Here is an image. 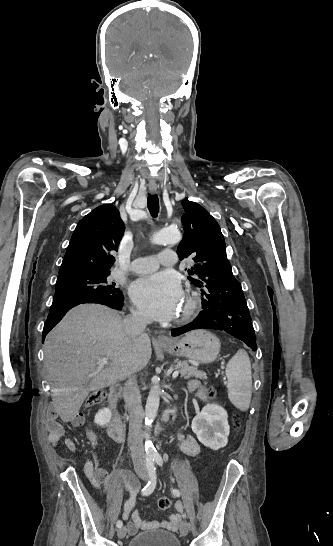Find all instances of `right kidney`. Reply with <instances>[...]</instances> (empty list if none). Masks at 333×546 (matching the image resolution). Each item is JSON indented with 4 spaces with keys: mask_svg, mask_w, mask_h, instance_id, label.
Listing matches in <instances>:
<instances>
[{
    "mask_svg": "<svg viewBox=\"0 0 333 546\" xmlns=\"http://www.w3.org/2000/svg\"><path fill=\"white\" fill-rule=\"evenodd\" d=\"M111 415V411L107 408L99 410L98 413L95 415V423L99 426H105L110 422Z\"/></svg>",
    "mask_w": 333,
    "mask_h": 546,
    "instance_id": "obj_1",
    "label": "right kidney"
}]
</instances>
